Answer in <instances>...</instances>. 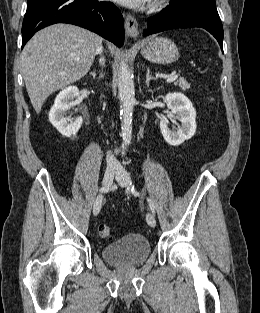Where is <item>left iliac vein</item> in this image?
<instances>
[{
  "label": "left iliac vein",
  "instance_id": "1",
  "mask_svg": "<svg viewBox=\"0 0 260 313\" xmlns=\"http://www.w3.org/2000/svg\"><path fill=\"white\" fill-rule=\"evenodd\" d=\"M116 180L121 187L128 188L129 183H130V176L123 168H118V170L116 172ZM146 221H147L149 226H151V227L156 226L155 217L150 212L147 213V215H146Z\"/></svg>",
  "mask_w": 260,
  "mask_h": 313
}]
</instances>
